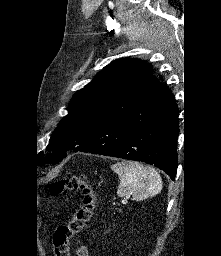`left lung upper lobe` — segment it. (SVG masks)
Returning <instances> with one entry per match:
<instances>
[{"label":"left lung upper lobe","mask_w":221,"mask_h":256,"mask_svg":"<svg viewBox=\"0 0 221 256\" xmlns=\"http://www.w3.org/2000/svg\"><path fill=\"white\" fill-rule=\"evenodd\" d=\"M150 65L136 59L113 61L73 97L69 114L51 135L40 164H56L109 122L127 114L160 88Z\"/></svg>","instance_id":"5c2ea615"}]
</instances>
